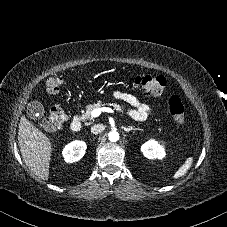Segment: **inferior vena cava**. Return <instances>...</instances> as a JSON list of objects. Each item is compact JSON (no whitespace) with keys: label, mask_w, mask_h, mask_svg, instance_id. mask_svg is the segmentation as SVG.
<instances>
[{"label":"inferior vena cava","mask_w":227,"mask_h":227,"mask_svg":"<svg viewBox=\"0 0 227 227\" xmlns=\"http://www.w3.org/2000/svg\"><path fill=\"white\" fill-rule=\"evenodd\" d=\"M105 126L103 124H95L91 127V132L95 135L100 134L104 131Z\"/></svg>","instance_id":"obj_1"}]
</instances>
